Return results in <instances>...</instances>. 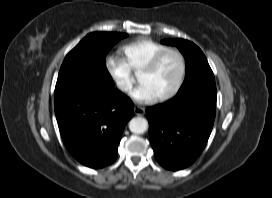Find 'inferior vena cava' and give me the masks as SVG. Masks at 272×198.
<instances>
[{
  "instance_id": "obj_1",
  "label": "inferior vena cava",
  "mask_w": 272,
  "mask_h": 198,
  "mask_svg": "<svg viewBox=\"0 0 272 198\" xmlns=\"http://www.w3.org/2000/svg\"><path fill=\"white\" fill-rule=\"evenodd\" d=\"M120 88H121L122 90H128V89H129V86H127V85H121Z\"/></svg>"
}]
</instances>
